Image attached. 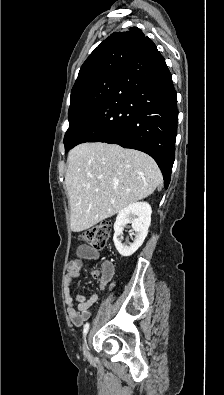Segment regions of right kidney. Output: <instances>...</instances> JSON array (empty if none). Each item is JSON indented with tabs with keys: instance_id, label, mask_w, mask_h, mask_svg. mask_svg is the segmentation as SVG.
<instances>
[{
	"instance_id": "ca27d5eb",
	"label": "right kidney",
	"mask_w": 224,
	"mask_h": 395,
	"mask_svg": "<svg viewBox=\"0 0 224 395\" xmlns=\"http://www.w3.org/2000/svg\"><path fill=\"white\" fill-rule=\"evenodd\" d=\"M151 206L147 202H136L122 209L114 224L113 241L119 254L129 257L143 244L151 223ZM130 223L135 231V239L130 246L122 244L121 238L125 224Z\"/></svg>"
}]
</instances>
